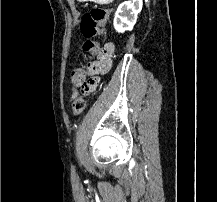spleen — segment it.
Masks as SVG:
<instances>
[{"mask_svg":"<svg viewBox=\"0 0 217 202\" xmlns=\"http://www.w3.org/2000/svg\"><path fill=\"white\" fill-rule=\"evenodd\" d=\"M99 5H112V0H99Z\"/></svg>","mask_w":217,"mask_h":202,"instance_id":"1","label":"spleen"}]
</instances>
